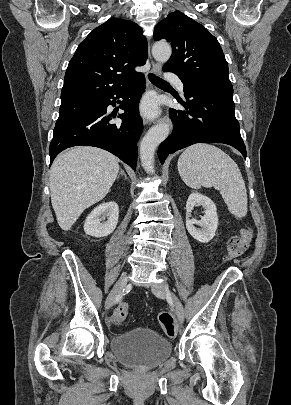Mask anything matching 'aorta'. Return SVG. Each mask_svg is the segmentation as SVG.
Instances as JSON below:
<instances>
[{"label": "aorta", "mask_w": 291, "mask_h": 405, "mask_svg": "<svg viewBox=\"0 0 291 405\" xmlns=\"http://www.w3.org/2000/svg\"><path fill=\"white\" fill-rule=\"evenodd\" d=\"M171 53V46L166 41H158L152 47L153 57L161 63L167 62ZM169 132V124L161 123L152 127L143 137L140 144V159L147 173L154 172L155 150L157 146L167 138Z\"/></svg>", "instance_id": "1"}]
</instances>
